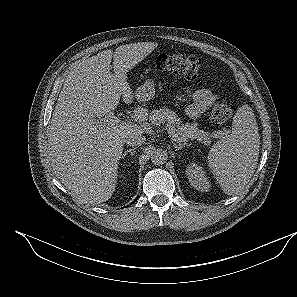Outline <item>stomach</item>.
<instances>
[{
    "mask_svg": "<svg viewBox=\"0 0 297 297\" xmlns=\"http://www.w3.org/2000/svg\"><path fill=\"white\" fill-rule=\"evenodd\" d=\"M155 95V83L153 80H147L135 91V98L139 101H148Z\"/></svg>",
    "mask_w": 297,
    "mask_h": 297,
    "instance_id": "0dacf381",
    "label": "stomach"
}]
</instances>
